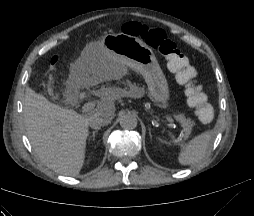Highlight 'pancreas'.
Wrapping results in <instances>:
<instances>
[{"label":"pancreas","mask_w":254,"mask_h":216,"mask_svg":"<svg viewBox=\"0 0 254 216\" xmlns=\"http://www.w3.org/2000/svg\"><path fill=\"white\" fill-rule=\"evenodd\" d=\"M174 117L183 127V138L186 139L191 134L194 122L190 118H186L184 114L174 115Z\"/></svg>","instance_id":"cf45deb5"}]
</instances>
